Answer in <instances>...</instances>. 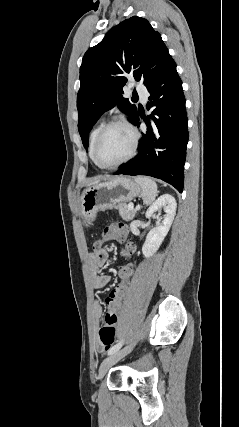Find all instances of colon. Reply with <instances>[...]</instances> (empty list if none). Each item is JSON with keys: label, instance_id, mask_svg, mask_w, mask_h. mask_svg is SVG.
Returning a JSON list of instances; mask_svg holds the SVG:
<instances>
[{"label": "colon", "instance_id": "obj_1", "mask_svg": "<svg viewBox=\"0 0 239 427\" xmlns=\"http://www.w3.org/2000/svg\"><path fill=\"white\" fill-rule=\"evenodd\" d=\"M128 226L124 222H110L106 227L101 237L94 243L93 248L98 251L104 242L110 244H123L120 247V254L123 257V262L118 263V279L107 295L104 297L106 315L104 324L99 331V338L104 349L110 347L115 341L119 320L120 308L123 307L125 297L130 289V282L135 275V264L130 262V257L133 256V251L136 250V243L132 242Z\"/></svg>", "mask_w": 239, "mask_h": 427}]
</instances>
